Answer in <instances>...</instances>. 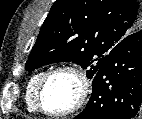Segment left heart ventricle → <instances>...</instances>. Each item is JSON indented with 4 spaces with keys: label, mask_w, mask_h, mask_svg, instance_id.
Wrapping results in <instances>:
<instances>
[{
    "label": "left heart ventricle",
    "mask_w": 142,
    "mask_h": 119,
    "mask_svg": "<svg viewBox=\"0 0 142 119\" xmlns=\"http://www.w3.org/2000/svg\"><path fill=\"white\" fill-rule=\"evenodd\" d=\"M79 83L71 73H59L53 76L43 93V103L50 111H64L76 101Z\"/></svg>",
    "instance_id": "obj_1"
}]
</instances>
